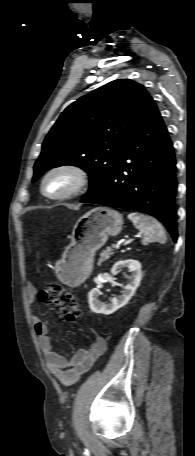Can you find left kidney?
I'll return each instance as SVG.
<instances>
[{
    "label": "left kidney",
    "mask_w": 195,
    "mask_h": 456,
    "mask_svg": "<svg viewBox=\"0 0 195 456\" xmlns=\"http://www.w3.org/2000/svg\"><path fill=\"white\" fill-rule=\"evenodd\" d=\"M122 268H128L132 272V275L129 283L124 287L121 296L113 298L110 303L106 304L99 299L102 293L98 288L90 291L88 295L89 306L94 313L110 315L125 306L134 295L142 278L141 264L139 261L133 259L118 261L112 267L111 273L115 274Z\"/></svg>",
    "instance_id": "5707ae66"
}]
</instances>
